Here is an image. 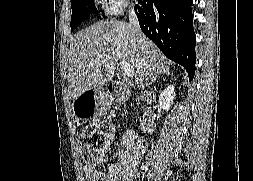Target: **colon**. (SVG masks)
Returning <instances> with one entry per match:
<instances>
[{
    "label": "colon",
    "mask_w": 253,
    "mask_h": 181,
    "mask_svg": "<svg viewBox=\"0 0 253 181\" xmlns=\"http://www.w3.org/2000/svg\"><path fill=\"white\" fill-rule=\"evenodd\" d=\"M110 126L106 122L85 127L79 137L80 150L85 164L96 166L107 150Z\"/></svg>",
    "instance_id": "1"
}]
</instances>
